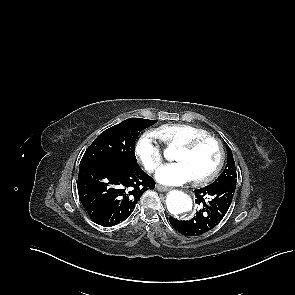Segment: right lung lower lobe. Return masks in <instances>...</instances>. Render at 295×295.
<instances>
[{"label":"right lung lower lobe","mask_w":295,"mask_h":295,"mask_svg":"<svg viewBox=\"0 0 295 295\" xmlns=\"http://www.w3.org/2000/svg\"><path fill=\"white\" fill-rule=\"evenodd\" d=\"M78 193L89 216L112 226L125 220L154 180L135 162L116 159L79 167Z\"/></svg>","instance_id":"obj_1"}]
</instances>
